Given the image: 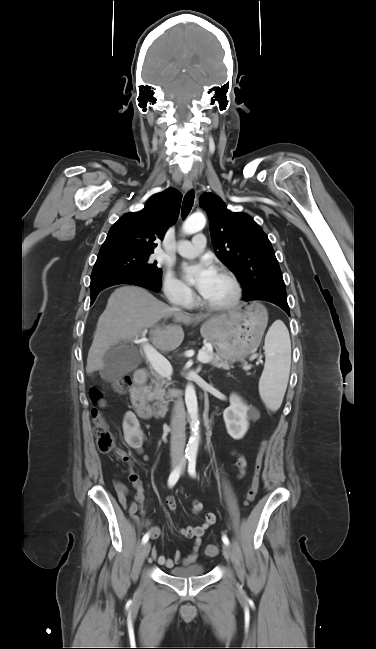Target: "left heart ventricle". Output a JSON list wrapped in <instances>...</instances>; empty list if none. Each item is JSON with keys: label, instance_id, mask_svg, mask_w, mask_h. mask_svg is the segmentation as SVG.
I'll use <instances>...</instances> for the list:
<instances>
[{"label": "left heart ventricle", "instance_id": "obj_1", "mask_svg": "<svg viewBox=\"0 0 376 649\" xmlns=\"http://www.w3.org/2000/svg\"><path fill=\"white\" fill-rule=\"evenodd\" d=\"M232 294L233 287L229 279L225 275L216 272L203 297L210 303L221 304L228 301Z\"/></svg>", "mask_w": 376, "mask_h": 649}]
</instances>
